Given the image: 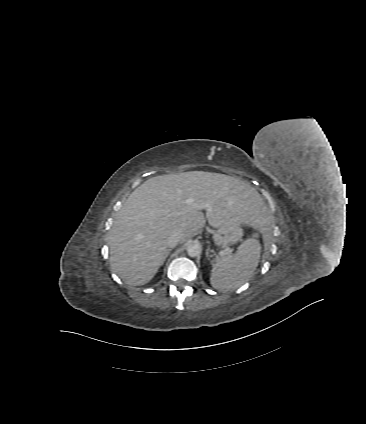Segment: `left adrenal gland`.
I'll return each instance as SVG.
<instances>
[{"label":"left adrenal gland","instance_id":"1","mask_svg":"<svg viewBox=\"0 0 366 424\" xmlns=\"http://www.w3.org/2000/svg\"><path fill=\"white\" fill-rule=\"evenodd\" d=\"M209 252H210V248H208L207 251H206V256L207 257L209 256Z\"/></svg>","mask_w":366,"mask_h":424}]
</instances>
